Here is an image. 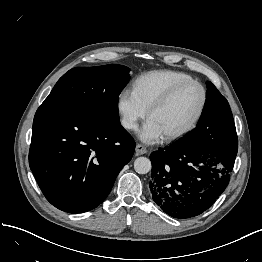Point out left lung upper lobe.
I'll list each match as a JSON object with an SVG mask.
<instances>
[{
	"label": "left lung upper lobe",
	"mask_w": 262,
	"mask_h": 262,
	"mask_svg": "<svg viewBox=\"0 0 262 262\" xmlns=\"http://www.w3.org/2000/svg\"><path fill=\"white\" fill-rule=\"evenodd\" d=\"M205 107L197 127L176 143L210 151H220L223 137H237L232 112L228 101L217 88L207 81Z\"/></svg>",
	"instance_id": "left-lung-upper-lobe-1"
}]
</instances>
